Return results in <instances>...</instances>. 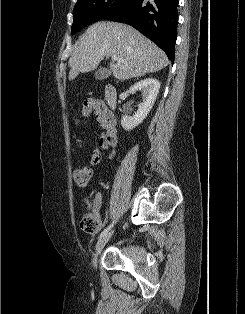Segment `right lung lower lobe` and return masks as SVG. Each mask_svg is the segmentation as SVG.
Here are the masks:
<instances>
[{"mask_svg":"<svg viewBox=\"0 0 245 314\" xmlns=\"http://www.w3.org/2000/svg\"><path fill=\"white\" fill-rule=\"evenodd\" d=\"M178 0H130L103 19L127 23L161 47L174 60Z\"/></svg>","mask_w":245,"mask_h":314,"instance_id":"right-lung-lower-lobe-1","label":"right lung lower lobe"}]
</instances>
